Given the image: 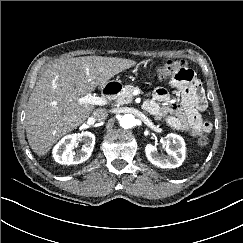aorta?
I'll use <instances>...</instances> for the list:
<instances>
[{"label":"aorta","mask_w":243,"mask_h":243,"mask_svg":"<svg viewBox=\"0 0 243 243\" xmlns=\"http://www.w3.org/2000/svg\"><path fill=\"white\" fill-rule=\"evenodd\" d=\"M119 124L124 129H130L135 125V117L132 114H125L120 118Z\"/></svg>","instance_id":"762f6f07"}]
</instances>
